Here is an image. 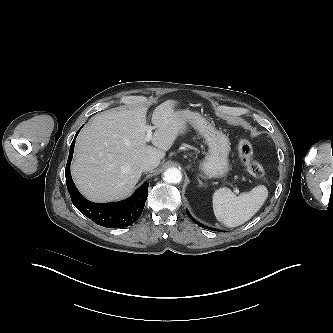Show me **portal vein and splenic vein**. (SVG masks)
<instances>
[{"instance_id": "obj_1", "label": "portal vein and splenic vein", "mask_w": 333, "mask_h": 333, "mask_svg": "<svg viewBox=\"0 0 333 333\" xmlns=\"http://www.w3.org/2000/svg\"><path fill=\"white\" fill-rule=\"evenodd\" d=\"M152 129H153V127H151V126L146 127L147 134L144 139L145 142H149L152 139ZM236 192L238 193L239 191L236 189Z\"/></svg>"}]
</instances>
